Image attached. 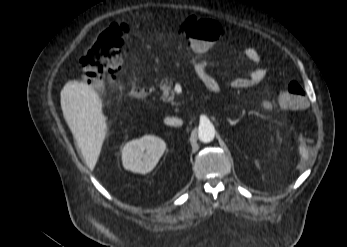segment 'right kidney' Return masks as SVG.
Wrapping results in <instances>:
<instances>
[{
  "label": "right kidney",
  "instance_id": "right-kidney-1",
  "mask_svg": "<svg viewBox=\"0 0 347 247\" xmlns=\"http://www.w3.org/2000/svg\"><path fill=\"white\" fill-rule=\"evenodd\" d=\"M165 149V142L153 135L132 140L122 149L123 166L134 173L146 174L155 168Z\"/></svg>",
  "mask_w": 347,
  "mask_h": 247
}]
</instances>
